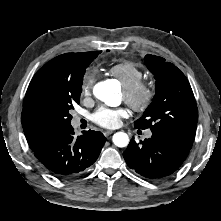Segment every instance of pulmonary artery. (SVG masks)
Returning a JSON list of instances; mask_svg holds the SVG:
<instances>
[{
    "mask_svg": "<svg viewBox=\"0 0 221 221\" xmlns=\"http://www.w3.org/2000/svg\"><path fill=\"white\" fill-rule=\"evenodd\" d=\"M74 122H75V123H78V122H79V118L76 117V118L74 119ZM151 135H152L151 132H147V133H146V137H147V138L151 137Z\"/></svg>",
    "mask_w": 221,
    "mask_h": 221,
    "instance_id": "pulmonary-artery-1",
    "label": "pulmonary artery"
}]
</instances>
